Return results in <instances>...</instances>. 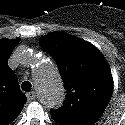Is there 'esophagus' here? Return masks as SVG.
<instances>
[{
    "instance_id": "1",
    "label": "esophagus",
    "mask_w": 125,
    "mask_h": 125,
    "mask_svg": "<svg viewBox=\"0 0 125 125\" xmlns=\"http://www.w3.org/2000/svg\"><path fill=\"white\" fill-rule=\"evenodd\" d=\"M28 100H34L36 98V93L34 91L28 92L26 94Z\"/></svg>"
}]
</instances>
